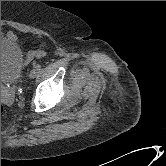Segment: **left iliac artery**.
<instances>
[{
    "instance_id": "44dca946",
    "label": "left iliac artery",
    "mask_w": 166,
    "mask_h": 166,
    "mask_svg": "<svg viewBox=\"0 0 166 166\" xmlns=\"http://www.w3.org/2000/svg\"><path fill=\"white\" fill-rule=\"evenodd\" d=\"M41 66L39 64L35 65V69L40 70Z\"/></svg>"
}]
</instances>
